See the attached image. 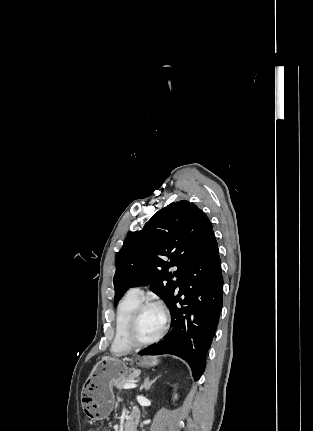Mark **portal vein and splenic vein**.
<instances>
[{"instance_id":"obj_1","label":"portal vein and splenic vein","mask_w":313,"mask_h":431,"mask_svg":"<svg viewBox=\"0 0 313 431\" xmlns=\"http://www.w3.org/2000/svg\"><path fill=\"white\" fill-rule=\"evenodd\" d=\"M137 385L134 382L126 383L123 385L124 389L136 388Z\"/></svg>"}]
</instances>
